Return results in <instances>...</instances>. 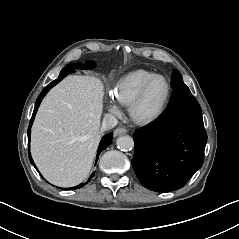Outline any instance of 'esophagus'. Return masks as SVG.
Instances as JSON below:
<instances>
[{"label": "esophagus", "instance_id": "obj_1", "mask_svg": "<svg viewBox=\"0 0 239 239\" xmlns=\"http://www.w3.org/2000/svg\"><path fill=\"white\" fill-rule=\"evenodd\" d=\"M127 132V129L126 128H123V127H118L114 130V136H118V135H122V134H125Z\"/></svg>", "mask_w": 239, "mask_h": 239}]
</instances>
